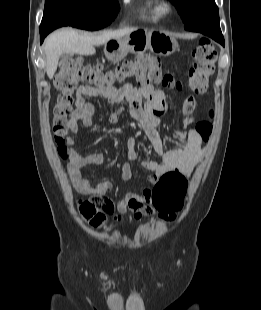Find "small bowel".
<instances>
[{"label": "small bowel", "mask_w": 261, "mask_h": 310, "mask_svg": "<svg viewBox=\"0 0 261 310\" xmlns=\"http://www.w3.org/2000/svg\"><path fill=\"white\" fill-rule=\"evenodd\" d=\"M88 97H100L108 103L121 106L124 100L130 104V113L137 121L154 151L161 157V162L143 160L141 166L152 172L149 177L151 184H157L159 179L167 172L177 171L189 177L203 156L204 139L196 129H190L193 124V110L197 105V100L190 95L185 100L186 116L183 126L187 131H177L176 136L182 142L179 146L170 150L164 149L159 133V116L167 111L164 95L161 91H155L149 84L142 83L139 87L130 84L117 89L113 87H92L81 85L76 92V109L70 117L67 128L75 134L80 125L90 126L93 122V106L86 103ZM69 151V163L67 170L73 188L80 194H100L104 195L113 187L109 180H103L96 185L83 177L82 169L88 165L100 166L104 163V156L101 153H91L81 155L76 147L73 138L66 140ZM135 139L127 140V157L131 161L138 159L135 148ZM132 177V170L128 163L122 166V178L129 180ZM117 211L124 214L130 211L135 219L147 218L158 211L152 204V193L149 188L142 193L130 192L125 194L117 203Z\"/></svg>", "instance_id": "1"}]
</instances>
